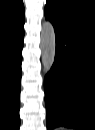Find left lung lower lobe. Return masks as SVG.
<instances>
[{
	"instance_id": "1",
	"label": "left lung lower lobe",
	"mask_w": 95,
	"mask_h": 130,
	"mask_svg": "<svg viewBox=\"0 0 95 130\" xmlns=\"http://www.w3.org/2000/svg\"><path fill=\"white\" fill-rule=\"evenodd\" d=\"M55 62L44 80L47 129L95 130V28L76 20H51Z\"/></svg>"
}]
</instances>
